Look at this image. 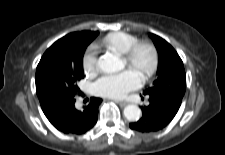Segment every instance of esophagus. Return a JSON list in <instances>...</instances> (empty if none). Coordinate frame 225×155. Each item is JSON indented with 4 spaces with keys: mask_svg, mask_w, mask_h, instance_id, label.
Segmentation results:
<instances>
[{
    "mask_svg": "<svg viewBox=\"0 0 225 155\" xmlns=\"http://www.w3.org/2000/svg\"><path fill=\"white\" fill-rule=\"evenodd\" d=\"M121 107L126 106L128 103L126 101H116Z\"/></svg>",
    "mask_w": 225,
    "mask_h": 155,
    "instance_id": "1",
    "label": "esophagus"
}]
</instances>
